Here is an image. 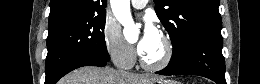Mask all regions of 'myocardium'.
Segmentation results:
<instances>
[{
	"instance_id": "obj_1",
	"label": "myocardium",
	"mask_w": 260,
	"mask_h": 84,
	"mask_svg": "<svg viewBox=\"0 0 260 84\" xmlns=\"http://www.w3.org/2000/svg\"><path fill=\"white\" fill-rule=\"evenodd\" d=\"M159 36L164 45V55L160 61L155 62V63H149L143 59L141 54H139L140 65L145 70L160 71V70H163L166 67H168L172 61L173 54H174V46H173L170 36L165 32H161Z\"/></svg>"
}]
</instances>
